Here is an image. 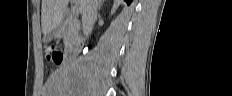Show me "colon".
Returning <instances> with one entry per match:
<instances>
[{"label": "colon", "mask_w": 232, "mask_h": 96, "mask_svg": "<svg viewBox=\"0 0 232 96\" xmlns=\"http://www.w3.org/2000/svg\"><path fill=\"white\" fill-rule=\"evenodd\" d=\"M46 53L48 59L57 65L63 61V53L54 46L48 47Z\"/></svg>", "instance_id": "obj_1"}]
</instances>
